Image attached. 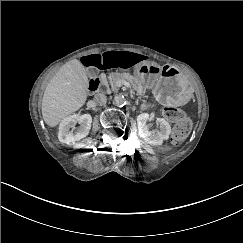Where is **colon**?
Wrapping results in <instances>:
<instances>
[{"label": "colon", "mask_w": 243, "mask_h": 243, "mask_svg": "<svg viewBox=\"0 0 243 243\" xmlns=\"http://www.w3.org/2000/svg\"><path fill=\"white\" fill-rule=\"evenodd\" d=\"M164 116L170 122L175 123L172 139L175 142L183 140L190 130V123L186 119L184 112L175 107H167L164 110Z\"/></svg>", "instance_id": "obj_1"}]
</instances>
